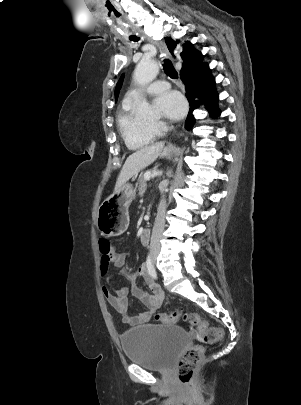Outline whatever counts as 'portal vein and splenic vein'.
Wrapping results in <instances>:
<instances>
[{"label":"portal vein and splenic vein","mask_w":301,"mask_h":405,"mask_svg":"<svg viewBox=\"0 0 301 405\" xmlns=\"http://www.w3.org/2000/svg\"><path fill=\"white\" fill-rule=\"evenodd\" d=\"M144 177H145L146 179H148V180L150 179V175H148V174H145Z\"/></svg>","instance_id":"18ae733b"}]
</instances>
